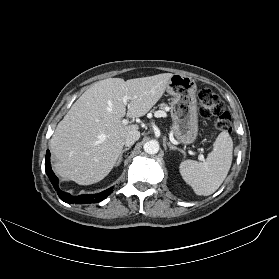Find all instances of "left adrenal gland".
Segmentation results:
<instances>
[{
    "instance_id": "1",
    "label": "left adrenal gland",
    "mask_w": 279,
    "mask_h": 279,
    "mask_svg": "<svg viewBox=\"0 0 279 279\" xmlns=\"http://www.w3.org/2000/svg\"><path fill=\"white\" fill-rule=\"evenodd\" d=\"M167 145H168V147L170 148V150H177V151L182 152V150H180L179 148L173 146L170 142H168Z\"/></svg>"
}]
</instances>
